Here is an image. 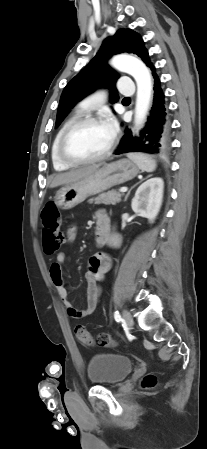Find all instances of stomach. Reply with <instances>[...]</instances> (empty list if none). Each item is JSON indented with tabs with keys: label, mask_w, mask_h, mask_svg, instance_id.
<instances>
[{
	"label": "stomach",
	"mask_w": 207,
	"mask_h": 449,
	"mask_svg": "<svg viewBox=\"0 0 207 449\" xmlns=\"http://www.w3.org/2000/svg\"><path fill=\"white\" fill-rule=\"evenodd\" d=\"M138 172L139 168L130 159L105 164L90 175L60 188L56 192L54 203L64 210L74 208L90 196L133 179Z\"/></svg>",
	"instance_id": "0dacf381"
}]
</instances>
